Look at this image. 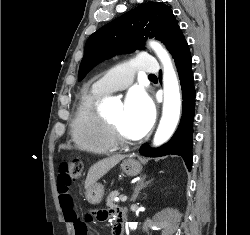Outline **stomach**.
Segmentation results:
<instances>
[{
    "instance_id": "stomach-1",
    "label": "stomach",
    "mask_w": 250,
    "mask_h": 235,
    "mask_svg": "<svg viewBox=\"0 0 250 235\" xmlns=\"http://www.w3.org/2000/svg\"><path fill=\"white\" fill-rule=\"evenodd\" d=\"M121 169L128 176H136L141 172L142 166L138 161L128 158L122 162ZM103 195L104 187L99 183L92 185L86 192L87 200L91 204H99Z\"/></svg>"
}]
</instances>
